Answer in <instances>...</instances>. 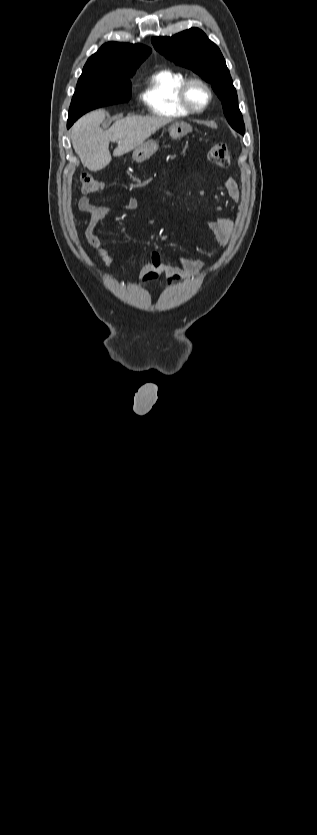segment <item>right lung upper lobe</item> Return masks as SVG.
Returning a JSON list of instances; mask_svg holds the SVG:
<instances>
[{"label": "right lung upper lobe", "instance_id": "cb5924a9", "mask_svg": "<svg viewBox=\"0 0 317 835\" xmlns=\"http://www.w3.org/2000/svg\"><path fill=\"white\" fill-rule=\"evenodd\" d=\"M150 53L151 49L141 44L108 42L87 60L82 73L136 69Z\"/></svg>", "mask_w": 317, "mask_h": 835}]
</instances>
